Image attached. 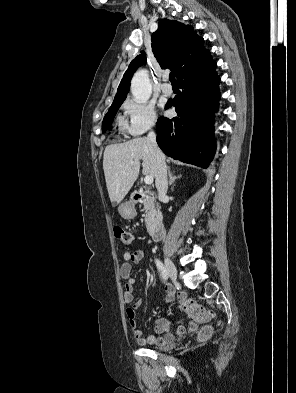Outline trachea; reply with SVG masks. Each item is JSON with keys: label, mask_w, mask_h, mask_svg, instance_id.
<instances>
[{"label": "trachea", "mask_w": 296, "mask_h": 393, "mask_svg": "<svg viewBox=\"0 0 296 393\" xmlns=\"http://www.w3.org/2000/svg\"><path fill=\"white\" fill-rule=\"evenodd\" d=\"M169 78H170V81H171L172 84H177V81H176V79H175V73H174V72H171V73H170Z\"/></svg>", "instance_id": "obj_1"}]
</instances>
